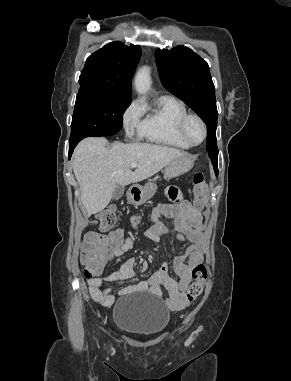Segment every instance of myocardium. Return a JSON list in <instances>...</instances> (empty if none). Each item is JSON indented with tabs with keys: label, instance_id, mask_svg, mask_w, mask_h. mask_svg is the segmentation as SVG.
Here are the masks:
<instances>
[{
	"label": "myocardium",
	"instance_id": "obj_1",
	"mask_svg": "<svg viewBox=\"0 0 291 381\" xmlns=\"http://www.w3.org/2000/svg\"><path fill=\"white\" fill-rule=\"evenodd\" d=\"M197 120L201 127H202V132H203V135H202V139L199 141V142H194L189 134H188V130H187V125L189 123L190 120ZM179 131H180V134L181 136L187 141V143L191 146H199L201 145L207 138V125H206V122L204 121V119L198 115V114H187L185 115L180 123H179Z\"/></svg>",
	"mask_w": 291,
	"mask_h": 381
}]
</instances>
